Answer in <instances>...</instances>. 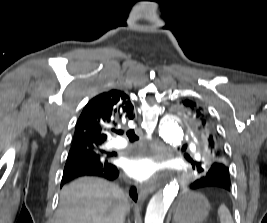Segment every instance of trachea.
I'll use <instances>...</instances> for the list:
<instances>
[{
  "mask_svg": "<svg viewBox=\"0 0 267 223\" xmlns=\"http://www.w3.org/2000/svg\"><path fill=\"white\" fill-rule=\"evenodd\" d=\"M118 134H123V131H118ZM126 134L131 142L139 139V137L135 134L134 130H128Z\"/></svg>",
  "mask_w": 267,
  "mask_h": 223,
  "instance_id": "1",
  "label": "trachea"
}]
</instances>
